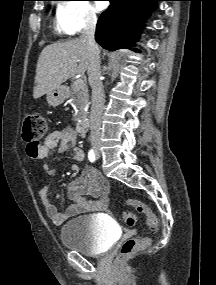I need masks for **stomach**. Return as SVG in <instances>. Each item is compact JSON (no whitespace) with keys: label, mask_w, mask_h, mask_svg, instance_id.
Instances as JSON below:
<instances>
[{"label":"stomach","mask_w":216,"mask_h":285,"mask_svg":"<svg viewBox=\"0 0 216 285\" xmlns=\"http://www.w3.org/2000/svg\"><path fill=\"white\" fill-rule=\"evenodd\" d=\"M68 96L67 88L60 86L53 91L47 93V102L50 106H58L64 102Z\"/></svg>","instance_id":"stomach-1"}]
</instances>
